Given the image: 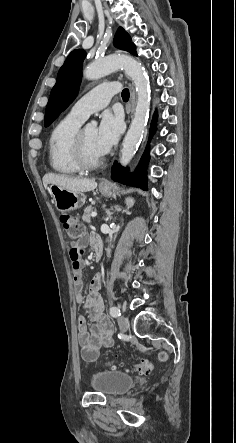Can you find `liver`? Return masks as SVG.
<instances>
[{"label": "liver", "mask_w": 236, "mask_h": 443, "mask_svg": "<svg viewBox=\"0 0 236 443\" xmlns=\"http://www.w3.org/2000/svg\"><path fill=\"white\" fill-rule=\"evenodd\" d=\"M48 184H54L72 192H88L97 187V183L94 179H78L53 173L45 174L43 177L44 187L47 188Z\"/></svg>", "instance_id": "liver-1"}]
</instances>
